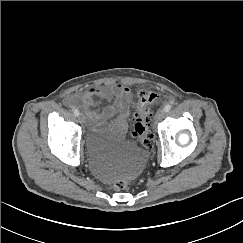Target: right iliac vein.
Here are the masks:
<instances>
[{"label": "right iliac vein", "mask_w": 243, "mask_h": 243, "mask_svg": "<svg viewBox=\"0 0 243 243\" xmlns=\"http://www.w3.org/2000/svg\"><path fill=\"white\" fill-rule=\"evenodd\" d=\"M78 118H79V121H80L81 123L84 122V116H83L82 114H80V115L78 116Z\"/></svg>", "instance_id": "1"}]
</instances>
